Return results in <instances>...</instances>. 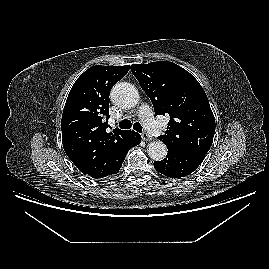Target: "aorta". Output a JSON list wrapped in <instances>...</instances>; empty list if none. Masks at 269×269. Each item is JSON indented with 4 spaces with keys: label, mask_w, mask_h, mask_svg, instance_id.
<instances>
[{
    "label": "aorta",
    "mask_w": 269,
    "mask_h": 269,
    "mask_svg": "<svg viewBox=\"0 0 269 269\" xmlns=\"http://www.w3.org/2000/svg\"><path fill=\"white\" fill-rule=\"evenodd\" d=\"M111 99L114 104L122 108L136 106L139 101V93L136 87L130 83L116 84L111 91ZM148 155L154 161H161L167 155V148L161 141H153L148 144Z\"/></svg>",
    "instance_id": "762f6f07"
}]
</instances>
